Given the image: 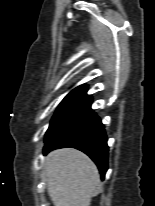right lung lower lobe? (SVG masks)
<instances>
[{
	"label": "right lung lower lobe",
	"instance_id": "98d812e1",
	"mask_svg": "<svg viewBox=\"0 0 155 206\" xmlns=\"http://www.w3.org/2000/svg\"><path fill=\"white\" fill-rule=\"evenodd\" d=\"M65 147L86 153L96 163L104 179L108 169L107 137L104 125L94 111L45 138L44 153Z\"/></svg>",
	"mask_w": 155,
	"mask_h": 206
}]
</instances>
